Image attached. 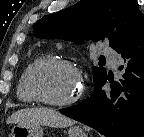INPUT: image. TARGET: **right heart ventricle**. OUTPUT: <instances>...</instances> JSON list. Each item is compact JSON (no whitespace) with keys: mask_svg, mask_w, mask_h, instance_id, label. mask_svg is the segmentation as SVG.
I'll return each mask as SVG.
<instances>
[{"mask_svg":"<svg viewBox=\"0 0 144 137\" xmlns=\"http://www.w3.org/2000/svg\"><path fill=\"white\" fill-rule=\"evenodd\" d=\"M44 59L43 56H39L34 58L24 69L23 73L21 74L17 88H16V95L17 98L23 103H33L35 102L34 98L30 95L27 89V78L29 75L30 70L32 67L39 62L40 60Z\"/></svg>","mask_w":144,"mask_h":137,"instance_id":"e07e8e85","label":"right heart ventricle"}]
</instances>
